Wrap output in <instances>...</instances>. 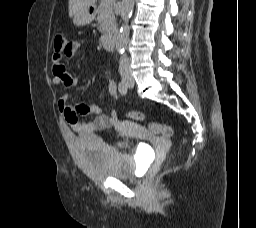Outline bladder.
Here are the masks:
<instances>
[{
    "instance_id": "bladder-1",
    "label": "bladder",
    "mask_w": 256,
    "mask_h": 228,
    "mask_svg": "<svg viewBox=\"0 0 256 228\" xmlns=\"http://www.w3.org/2000/svg\"><path fill=\"white\" fill-rule=\"evenodd\" d=\"M76 147L86 172L98 179H128L142 164L143 157L135 149L124 154L96 136L80 135Z\"/></svg>"
}]
</instances>
